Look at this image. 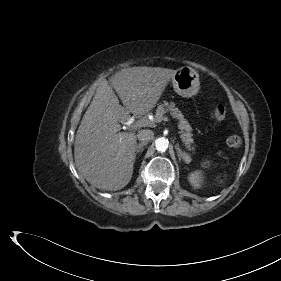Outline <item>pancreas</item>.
<instances>
[{"label": "pancreas", "mask_w": 281, "mask_h": 281, "mask_svg": "<svg viewBox=\"0 0 281 281\" xmlns=\"http://www.w3.org/2000/svg\"><path fill=\"white\" fill-rule=\"evenodd\" d=\"M170 112L173 118L178 119V128L180 129L181 139L187 149L189 151H193L195 147L191 146L194 142L192 136V127L190 126L189 122L184 118V115L179 111L178 108L175 107L174 103L164 102V104H160L157 107L156 114H155V121L161 122L164 118V114Z\"/></svg>", "instance_id": "obj_1"}]
</instances>
